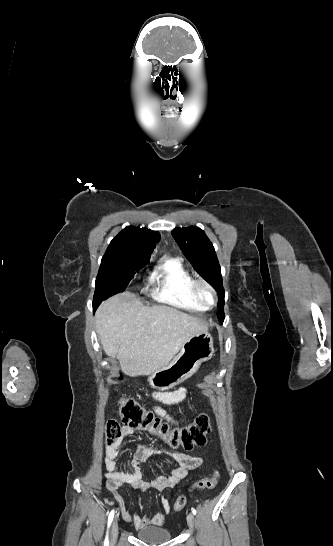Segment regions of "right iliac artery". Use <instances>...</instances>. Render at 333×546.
<instances>
[{"instance_id": "obj_1", "label": "right iliac artery", "mask_w": 333, "mask_h": 546, "mask_svg": "<svg viewBox=\"0 0 333 546\" xmlns=\"http://www.w3.org/2000/svg\"><path fill=\"white\" fill-rule=\"evenodd\" d=\"M113 517H114V510H112L109 514V517H108V528L110 527L111 525V522L113 520ZM109 544V540H108V530H107V535H106V538H105V541H104V546H108Z\"/></svg>"}]
</instances>
